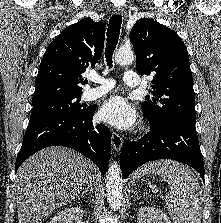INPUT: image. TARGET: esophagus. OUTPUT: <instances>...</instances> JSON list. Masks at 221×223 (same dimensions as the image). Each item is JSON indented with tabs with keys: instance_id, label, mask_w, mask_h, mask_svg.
Returning <instances> with one entry per match:
<instances>
[{
	"instance_id": "obj_1",
	"label": "esophagus",
	"mask_w": 221,
	"mask_h": 223,
	"mask_svg": "<svg viewBox=\"0 0 221 223\" xmlns=\"http://www.w3.org/2000/svg\"><path fill=\"white\" fill-rule=\"evenodd\" d=\"M114 13L123 16L124 15V9L122 7L115 8L114 9ZM111 142H112L113 149L116 152H118L121 149V147H122L123 138H122L121 135H119L118 133L113 131L112 132V136H111Z\"/></svg>"
}]
</instances>
